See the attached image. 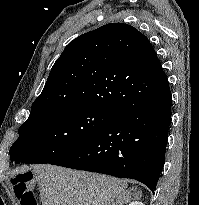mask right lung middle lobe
Masks as SVG:
<instances>
[{
  "mask_svg": "<svg viewBox=\"0 0 199 205\" xmlns=\"http://www.w3.org/2000/svg\"><path fill=\"white\" fill-rule=\"evenodd\" d=\"M113 117L112 111L89 105L31 109L10 148L11 162L51 163L91 140Z\"/></svg>",
  "mask_w": 199,
  "mask_h": 205,
  "instance_id": "right-lung-middle-lobe-1",
  "label": "right lung middle lobe"
}]
</instances>
